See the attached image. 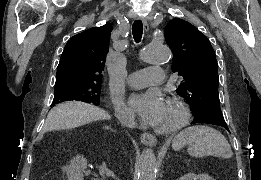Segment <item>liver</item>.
I'll use <instances>...</instances> for the list:
<instances>
[{
	"label": "liver",
	"mask_w": 261,
	"mask_h": 180,
	"mask_svg": "<svg viewBox=\"0 0 261 180\" xmlns=\"http://www.w3.org/2000/svg\"><path fill=\"white\" fill-rule=\"evenodd\" d=\"M53 112L55 114L53 126L59 130H71V128L84 126V124H90L96 120H109L110 118L104 110L90 106V104H84V102H65V104H59L53 108ZM46 126L49 130L47 120Z\"/></svg>",
	"instance_id": "1"
}]
</instances>
